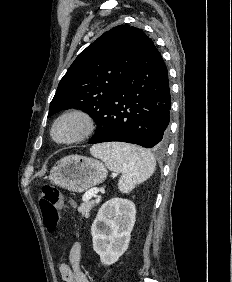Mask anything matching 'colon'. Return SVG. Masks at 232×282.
<instances>
[{"instance_id":"5ec220e1","label":"colon","mask_w":232,"mask_h":282,"mask_svg":"<svg viewBox=\"0 0 232 282\" xmlns=\"http://www.w3.org/2000/svg\"><path fill=\"white\" fill-rule=\"evenodd\" d=\"M39 206L45 227L52 231L58 225L60 212L64 207V201L59 190L50 185L42 188L39 195Z\"/></svg>"}]
</instances>
